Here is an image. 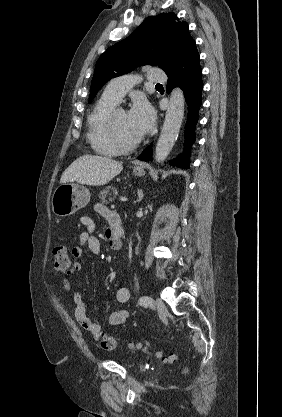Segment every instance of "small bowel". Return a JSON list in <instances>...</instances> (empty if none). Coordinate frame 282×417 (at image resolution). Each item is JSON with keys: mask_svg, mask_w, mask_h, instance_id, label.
<instances>
[{"mask_svg": "<svg viewBox=\"0 0 282 417\" xmlns=\"http://www.w3.org/2000/svg\"><path fill=\"white\" fill-rule=\"evenodd\" d=\"M94 208L95 211L103 216L108 222L109 228L107 229L105 235L112 247L113 242L117 243L120 241L116 240V234L117 229L122 227L121 218L116 211L109 209L104 204L97 203ZM79 223L84 227V231L79 235L78 245L72 249V254L77 259L72 263L73 270L75 271H80L82 269V263L79 259L83 256L84 248H87L94 256L97 257H101L103 254L101 241L99 237L95 235L96 224L93 219L88 215H82L79 217ZM61 284L65 292H71V283L68 279H63ZM115 297L118 303H127L130 298L129 288L126 286L119 287L116 290ZM73 301L75 305L72 313L73 318L83 329L90 333L95 341L105 340L106 334L103 332L101 325L88 315V304L84 295L79 291H75L73 293ZM128 317L129 313L125 309L112 311L108 317V324L111 326L122 325L127 321Z\"/></svg>", "mask_w": 282, "mask_h": 417, "instance_id": "1", "label": "small bowel"}]
</instances>
